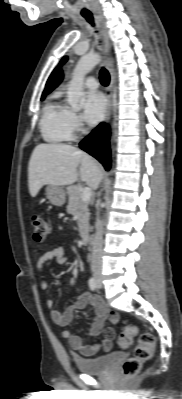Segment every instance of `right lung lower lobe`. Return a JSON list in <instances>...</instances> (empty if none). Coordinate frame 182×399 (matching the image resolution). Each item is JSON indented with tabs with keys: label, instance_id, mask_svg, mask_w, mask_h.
<instances>
[{
	"label": "right lung lower lobe",
	"instance_id": "obj_1",
	"mask_svg": "<svg viewBox=\"0 0 182 399\" xmlns=\"http://www.w3.org/2000/svg\"><path fill=\"white\" fill-rule=\"evenodd\" d=\"M110 130L108 125L101 123L81 143V149L99 160L106 170L110 169Z\"/></svg>",
	"mask_w": 182,
	"mask_h": 399
}]
</instances>
